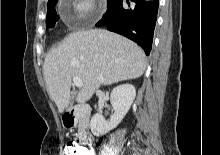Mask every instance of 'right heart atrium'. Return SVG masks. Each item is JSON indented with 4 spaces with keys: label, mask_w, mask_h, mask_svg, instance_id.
<instances>
[{
    "label": "right heart atrium",
    "mask_w": 220,
    "mask_h": 155,
    "mask_svg": "<svg viewBox=\"0 0 220 155\" xmlns=\"http://www.w3.org/2000/svg\"><path fill=\"white\" fill-rule=\"evenodd\" d=\"M73 20L77 25H89L99 17L97 0H73Z\"/></svg>",
    "instance_id": "right-heart-atrium-1"
}]
</instances>
